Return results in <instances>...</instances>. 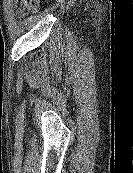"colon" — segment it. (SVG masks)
<instances>
[{
	"instance_id": "1",
	"label": "colon",
	"mask_w": 133,
	"mask_h": 173,
	"mask_svg": "<svg viewBox=\"0 0 133 173\" xmlns=\"http://www.w3.org/2000/svg\"><path fill=\"white\" fill-rule=\"evenodd\" d=\"M19 9L33 8L37 4V0H17L16 2Z\"/></svg>"
}]
</instances>
